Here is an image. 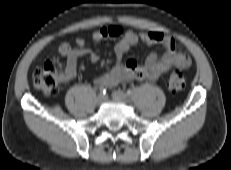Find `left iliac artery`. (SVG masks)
I'll return each mask as SVG.
<instances>
[{
    "label": "left iliac artery",
    "instance_id": "obj_1",
    "mask_svg": "<svg viewBox=\"0 0 231 170\" xmlns=\"http://www.w3.org/2000/svg\"><path fill=\"white\" fill-rule=\"evenodd\" d=\"M135 91H136V89H128V90L126 91V94H127L129 97H133L134 94H135Z\"/></svg>",
    "mask_w": 231,
    "mask_h": 170
}]
</instances>
